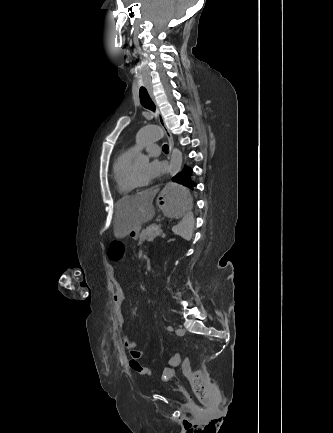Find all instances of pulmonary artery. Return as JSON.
<instances>
[{
	"label": "pulmonary artery",
	"mask_w": 333,
	"mask_h": 433,
	"mask_svg": "<svg viewBox=\"0 0 333 433\" xmlns=\"http://www.w3.org/2000/svg\"><path fill=\"white\" fill-rule=\"evenodd\" d=\"M131 150L133 151L134 147H132ZM146 151L152 155H158L160 153V148L156 144H149L146 146Z\"/></svg>",
	"instance_id": "obj_1"
}]
</instances>
